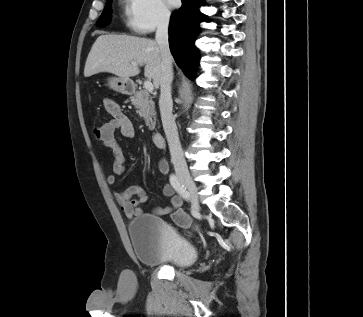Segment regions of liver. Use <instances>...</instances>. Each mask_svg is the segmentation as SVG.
<instances>
[{
  "label": "liver",
  "instance_id": "liver-1",
  "mask_svg": "<svg viewBox=\"0 0 363 317\" xmlns=\"http://www.w3.org/2000/svg\"><path fill=\"white\" fill-rule=\"evenodd\" d=\"M145 65V77L152 79L155 88L160 85L162 57L156 41L128 36L101 35L93 44L84 68V76L108 72L120 78L129 79L140 73L138 67Z\"/></svg>",
  "mask_w": 363,
  "mask_h": 317
}]
</instances>
